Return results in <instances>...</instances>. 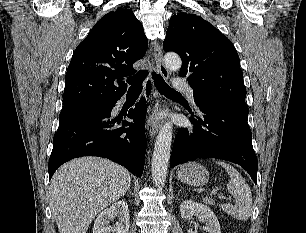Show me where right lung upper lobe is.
Returning <instances> with one entry per match:
<instances>
[{"label": "right lung upper lobe", "instance_id": "obj_1", "mask_svg": "<svg viewBox=\"0 0 306 233\" xmlns=\"http://www.w3.org/2000/svg\"><path fill=\"white\" fill-rule=\"evenodd\" d=\"M148 41L133 12L118 8L102 17L76 48L65 76L64 106L82 102H116L126 92L123 77Z\"/></svg>", "mask_w": 306, "mask_h": 233}]
</instances>
